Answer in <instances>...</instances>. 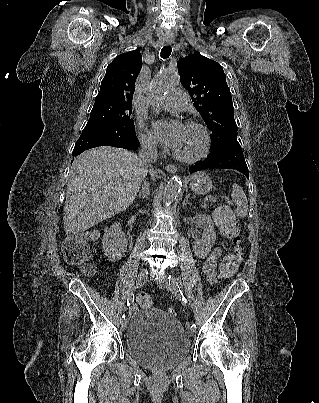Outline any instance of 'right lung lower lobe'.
Wrapping results in <instances>:
<instances>
[{
  "label": "right lung lower lobe",
  "instance_id": "1",
  "mask_svg": "<svg viewBox=\"0 0 319 403\" xmlns=\"http://www.w3.org/2000/svg\"><path fill=\"white\" fill-rule=\"evenodd\" d=\"M98 146L136 150L139 147V141L136 138L135 130L131 131L120 125L85 127L75 144L72 155L77 156L87 149Z\"/></svg>",
  "mask_w": 319,
  "mask_h": 403
}]
</instances>
